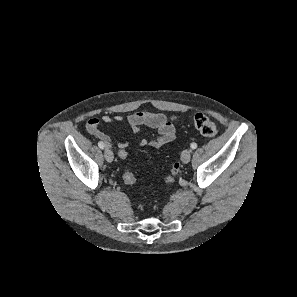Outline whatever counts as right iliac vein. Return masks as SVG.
Here are the masks:
<instances>
[{
	"instance_id": "1",
	"label": "right iliac vein",
	"mask_w": 297,
	"mask_h": 297,
	"mask_svg": "<svg viewBox=\"0 0 297 297\" xmlns=\"http://www.w3.org/2000/svg\"><path fill=\"white\" fill-rule=\"evenodd\" d=\"M104 157L107 162L111 163L113 161V152L109 148H105L104 150Z\"/></svg>"
}]
</instances>
